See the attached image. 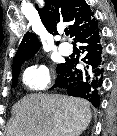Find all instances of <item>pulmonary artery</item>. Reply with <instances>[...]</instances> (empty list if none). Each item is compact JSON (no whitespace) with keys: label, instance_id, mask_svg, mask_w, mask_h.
<instances>
[{"label":"pulmonary artery","instance_id":"pulmonary-artery-1","mask_svg":"<svg viewBox=\"0 0 117 136\" xmlns=\"http://www.w3.org/2000/svg\"><path fill=\"white\" fill-rule=\"evenodd\" d=\"M59 51L63 55H69L71 53V47L61 44L59 46Z\"/></svg>","mask_w":117,"mask_h":136}]
</instances>
